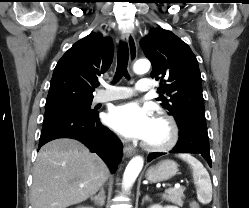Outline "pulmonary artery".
I'll return each instance as SVG.
<instances>
[{
  "instance_id": "obj_1",
  "label": "pulmonary artery",
  "mask_w": 249,
  "mask_h": 208,
  "mask_svg": "<svg viewBox=\"0 0 249 208\" xmlns=\"http://www.w3.org/2000/svg\"><path fill=\"white\" fill-rule=\"evenodd\" d=\"M154 85L150 79H140L134 88L127 86H118L104 93H98L94 97L95 103L108 102L119 99H126L134 96L137 92H150L153 90Z\"/></svg>"
}]
</instances>
